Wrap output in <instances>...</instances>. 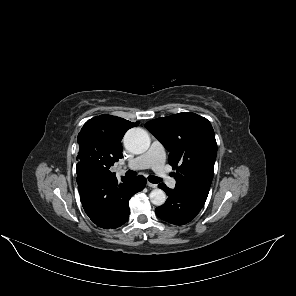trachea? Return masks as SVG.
Segmentation results:
<instances>
[{
	"label": "trachea",
	"mask_w": 296,
	"mask_h": 296,
	"mask_svg": "<svg viewBox=\"0 0 296 296\" xmlns=\"http://www.w3.org/2000/svg\"><path fill=\"white\" fill-rule=\"evenodd\" d=\"M126 176L129 177V178H133L136 176V172L135 171H131V170H128L126 172ZM148 180L153 183V184H157L161 181L160 178L156 177V176H153V175H150L148 176Z\"/></svg>",
	"instance_id": "trachea-1"
}]
</instances>
